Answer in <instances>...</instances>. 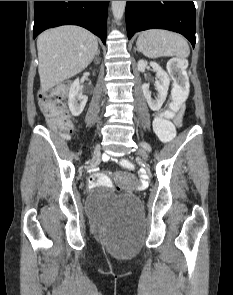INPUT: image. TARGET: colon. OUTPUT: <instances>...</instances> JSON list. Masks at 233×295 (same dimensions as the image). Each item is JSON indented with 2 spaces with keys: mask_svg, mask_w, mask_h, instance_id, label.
<instances>
[{
  "mask_svg": "<svg viewBox=\"0 0 233 295\" xmlns=\"http://www.w3.org/2000/svg\"><path fill=\"white\" fill-rule=\"evenodd\" d=\"M168 70L173 81L172 103L168 111L158 115L154 120V130L163 142L174 140L176 134L172 119L189 94L186 62L179 58H173L168 63ZM71 85V83H63L42 93L40 97L41 109L46 115L49 124L64 139L69 137L74 127L73 121L63 102V98L69 91ZM120 164L125 169H134V164L129 159H121ZM99 186L111 188L112 182L104 174L94 172L88 178V187L96 188Z\"/></svg>",
  "mask_w": 233,
  "mask_h": 295,
  "instance_id": "5ec220e1",
  "label": "colon"
}]
</instances>
